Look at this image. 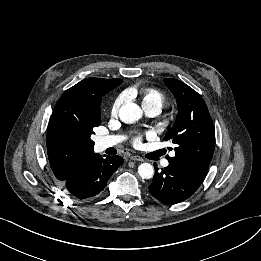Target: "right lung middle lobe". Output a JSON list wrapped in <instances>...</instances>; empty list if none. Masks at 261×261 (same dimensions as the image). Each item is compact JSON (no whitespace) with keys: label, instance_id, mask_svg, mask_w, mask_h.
I'll list each match as a JSON object with an SVG mask.
<instances>
[{"label":"right lung middle lobe","instance_id":"1","mask_svg":"<svg viewBox=\"0 0 261 261\" xmlns=\"http://www.w3.org/2000/svg\"><path fill=\"white\" fill-rule=\"evenodd\" d=\"M101 124L99 113H85L80 118H61L49 122L47 138L62 142H80L94 146L90 136L93 128Z\"/></svg>","mask_w":261,"mask_h":261}]
</instances>
